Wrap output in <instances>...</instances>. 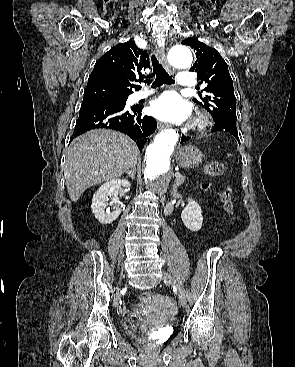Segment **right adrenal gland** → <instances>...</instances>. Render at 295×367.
<instances>
[{
    "label": "right adrenal gland",
    "mask_w": 295,
    "mask_h": 367,
    "mask_svg": "<svg viewBox=\"0 0 295 367\" xmlns=\"http://www.w3.org/2000/svg\"><path fill=\"white\" fill-rule=\"evenodd\" d=\"M126 174H127V176H128L129 178H131L132 180H134V179H135V174H136V172H135V169H134V168H132V169H130V170H126Z\"/></svg>",
    "instance_id": "obj_1"
}]
</instances>
